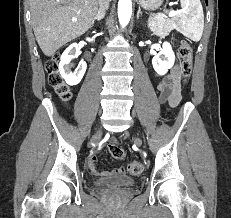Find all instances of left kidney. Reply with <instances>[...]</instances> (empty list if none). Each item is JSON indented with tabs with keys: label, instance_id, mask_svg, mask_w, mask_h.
I'll list each match as a JSON object with an SVG mask.
<instances>
[{
	"label": "left kidney",
	"instance_id": "left-kidney-1",
	"mask_svg": "<svg viewBox=\"0 0 231 218\" xmlns=\"http://www.w3.org/2000/svg\"><path fill=\"white\" fill-rule=\"evenodd\" d=\"M175 62V55L170 43L164 42L160 52L152 59V65L154 70L159 75H164L169 69H171Z\"/></svg>",
	"mask_w": 231,
	"mask_h": 218
}]
</instances>
